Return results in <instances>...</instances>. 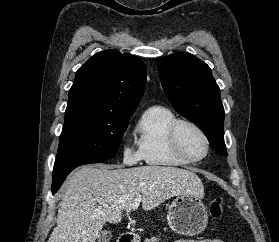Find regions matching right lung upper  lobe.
I'll use <instances>...</instances> for the list:
<instances>
[{"instance_id": "1", "label": "right lung upper lobe", "mask_w": 279, "mask_h": 242, "mask_svg": "<svg viewBox=\"0 0 279 242\" xmlns=\"http://www.w3.org/2000/svg\"><path fill=\"white\" fill-rule=\"evenodd\" d=\"M146 76V65L136 56L111 49L98 52L78 69L66 114L130 117L143 95Z\"/></svg>"}]
</instances>
